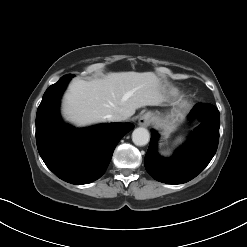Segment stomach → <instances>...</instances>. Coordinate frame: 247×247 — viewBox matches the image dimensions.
<instances>
[{
  "label": "stomach",
  "mask_w": 247,
  "mask_h": 247,
  "mask_svg": "<svg viewBox=\"0 0 247 247\" xmlns=\"http://www.w3.org/2000/svg\"><path fill=\"white\" fill-rule=\"evenodd\" d=\"M152 121L160 127L165 134L174 131L184 118V113L179 108H174L166 115L151 114Z\"/></svg>",
  "instance_id": "stomach-1"
}]
</instances>
